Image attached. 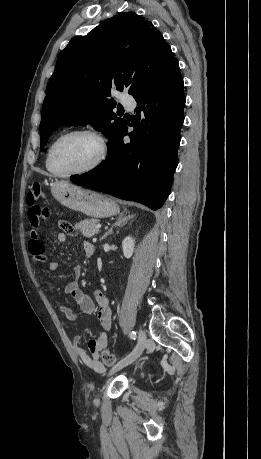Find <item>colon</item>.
<instances>
[{
  "label": "colon",
  "mask_w": 261,
  "mask_h": 459,
  "mask_svg": "<svg viewBox=\"0 0 261 459\" xmlns=\"http://www.w3.org/2000/svg\"><path fill=\"white\" fill-rule=\"evenodd\" d=\"M45 195L42 191V187L40 183L35 182L30 186L28 195H27V203L30 206L29 210V220H28V225H29V233L30 234H39L41 230V221L48 216L47 209L38 204V201L44 200ZM58 227L71 235L75 234V230L73 226L64 220H61L58 222ZM101 358L103 363L106 366H110L115 363L116 358L113 355V353L109 349H104L101 353Z\"/></svg>",
  "instance_id": "colon-1"
}]
</instances>
